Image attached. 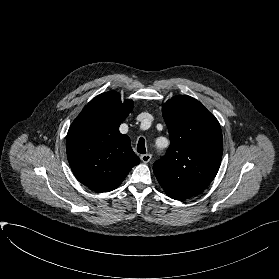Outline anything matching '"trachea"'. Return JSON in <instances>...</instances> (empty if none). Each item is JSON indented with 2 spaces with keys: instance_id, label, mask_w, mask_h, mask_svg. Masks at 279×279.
Here are the masks:
<instances>
[{
  "instance_id": "obj_1",
  "label": "trachea",
  "mask_w": 279,
  "mask_h": 279,
  "mask_svg": "<svg viewBox=\"0 0 279 279\" xmlns=\"http://www.w3.org/2000/svg\"><path fill=\"white\" fill-rule=\"evenodd\" d=\"M137 152L141 154H146L145 140L143 137H141L138 141Z\"/></svg>"
}]
</instances>
